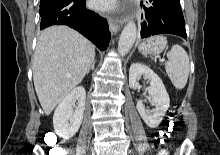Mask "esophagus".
<instances>
[{
  "label": "esophagus",
  "instance_id": "obj_1",
  "mask_svg": "<svg viewBox=\"0 0 220 155\" xmlns=\"http://www.w3.org/2000/svg\"><path fill=\"white\" fill-rule=\"evenodd\" d=\"M125 19L124 18H110L109 19V28L111 33L115 34L119 30V28L123 25Z\"/></svg>",
  "mask_w": 220,
  "mask_h": 155
}]
</instances>
